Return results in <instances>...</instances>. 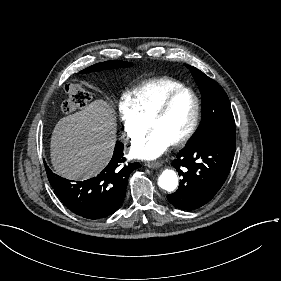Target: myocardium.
Here are the masks:
<instances>
[{
  "label": "myocardium",
  "instance_id": "1",
  "mask_svg": "<svg viewBox=\"0 0 281 281\" xmlns=\"http://www.w3.org/2000/svg\"><path fill=\"white\" fill-rule=\"evenodd\" d=\"M184 94H188L193 98L194 113H193L190 125H189L188 129L186 130V132L179 139H177L171 143V145L174 147H179V146H182L185 143H187L192 138V136L194 135V133L197 129L199 119H200L201 104H200L199 97L196 95V93L193 90H191L189 88H183V89H180V90L172 93L166 99H164V101L161 102L160 105L145 120V126H146V129L148 130L153 123H155L157 120H159L165 114V112L167 111L169 106L172 104V102L175 99H177L179 96L184 95Z\"/></svg>",
  "mask_w": 281,
  "mask_h": 281
}]
</instances>
